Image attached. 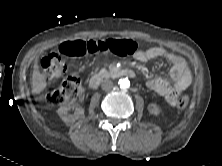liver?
I'll use <instances>...</instances> for the list:
<instances>
[{
	"mask_svg": "<svg viewBox=\"0 0 222 166\" xmlns=\"http://www.w3.org/2000/svg\"><path fill=\"white\" fill-rule=\"evenodd\" d=\"M33 68L34 69L31 77L32 91L35 93H40L46 88L47 82L45 77L40 73L38 58L35 59Z\"/></svg>",
	"mask_w": 222,
	"mask_h": 166,
	"instance_id": "1",
	"label": "liver"
}]
</instances>
